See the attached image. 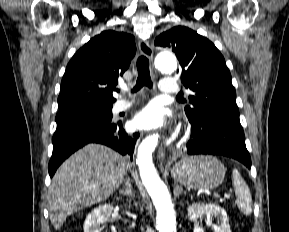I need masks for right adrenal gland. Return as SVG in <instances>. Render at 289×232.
Instances as JSON below:
<instances>
[{
	"mask_svg": "<svg viewBox=\"0 0 289 232\" xmlns=\"http://www.w3.org/2000/svg\"><path fill=\"white\" fill-rule=\"evenodd\" d=\"M119 193L124 196H127L129 198L128 202L129 203L131 202V199L133 197V191H132V187L129 181H126L125 188L123 190H120Z\"/></svg>",
	"mask_w": 289,
	"mask_h": 232,
	"instance_id": "obj_1",
	"label": "right adrenal gland"
}]
</instances>
